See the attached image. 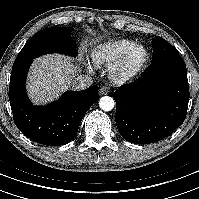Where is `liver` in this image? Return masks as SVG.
<instances>
[{
  "label": "liver",
  "instance_id": "6515ba94",
  "mask_svg": "<svg viewBox=\"0 0 199 199\" xmlns=\"http://www.w3.org/2000/svg\"><path fill=\"white\" fill-rule=\"evenodd\" d=\"M79 67L63 55L53 54L34 60L27 80V92L37 105L57 98L72 85Z\"/></svg>",
  "mask_w": 199,
  "mask_h": 199
}]
</instances>
